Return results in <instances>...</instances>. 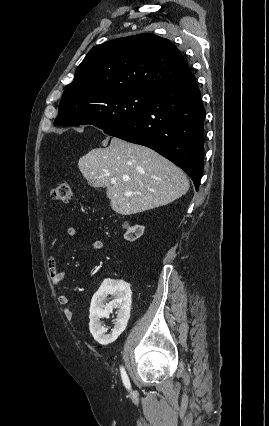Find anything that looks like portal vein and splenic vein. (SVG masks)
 Instances as JSON below:
<instances>
[{
	"instance_id": "portal-vein-and-splenic-vein-1",
	"label": "portal vein and splenic vein",
	"mask_w": 269,
	"mask_h": 426,
	"mask_svg": "<svg viewBox=\"0 0 269 426\" xmlns=\"http://www.w3.org/2000/svg\"><path fill=\"white\" fill-rule=\"evenodd\" d=\"M116 182V179L115 178H112L111 179V183H115ZM126 196H131L133 193L132 192H125L124 193Z\"/></svg>"
}]
</instances>
